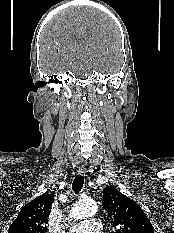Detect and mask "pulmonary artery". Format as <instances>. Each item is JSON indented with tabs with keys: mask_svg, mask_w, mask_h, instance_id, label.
I'll return each mask as SVG.
<instances>
[{
	"mask_svg": "<svg viewBox=\"0 0 174 233\" xmlns=\"http://www.w3.org/2000/svg\"><path fill=\"white\" fill-rule=\"evenodd\" d=\"M101 230V222L96 218H90L70 227L68 233H101Z\"/></svg>",
	"mask_w": 174,
	"mask_h": 233,
	"instance_id": "e3ab8cb5",
	"label": "pulmonary artery"
}]
</instances>
